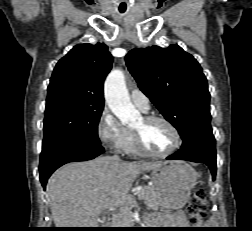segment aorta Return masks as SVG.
<instances>
[{"label": "aorta", "instance_id": "obj_1", "mask_svg": "<svg viewBox=\"0 0 252 231\" xmlns=\"http://www.w3.org/2000/svg\"><path fill=\"white\" fill-rule=\"evenodd\" d=\"M104 94L108 107L123 124H130L139 117V112L130 101L125 76L121 70H113L107 76Z\"/></svg>", "mask_w": 252, "mask_h": 231}]
</instances>
